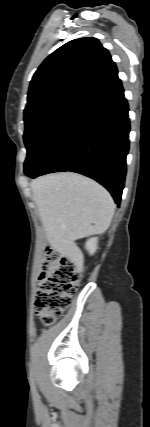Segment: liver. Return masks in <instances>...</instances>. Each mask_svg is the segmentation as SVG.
Wrapping results in <instances>:
<instances>
[{
    "instance_id": "liver-1",
    "label": "liver",
    "mask_w": 150,
    "mask_h": 427,
    "mask_svg": "<svg viewBox=\"0 0 150 427\" xmlns=\"http://www.w3.org/2000/svg\"><path fill=\"white\" fill-rule=\"evenodd\" d=\"M30 187L46 237L61 254L76 251L75 240L102 234L110 226L114 201L94 180L65 172L37 178Z\"/></svg>"
}]
</instances>
